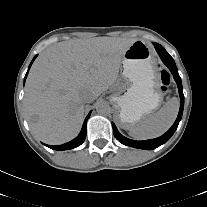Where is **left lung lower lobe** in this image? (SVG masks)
Wrapping results in <instances>:
<instances>
[{
	"instance_id": "0a47b994",
	"label": "left lung lower lobe",
	"mask_w": 207,
	"mask_h": 207,
	"mask_svg": "<svg viewBox=\"0 0 207 207\" xmlns=\"http://www.w3.org/2000/svg\"><path fill=\"white\" fill-rule=\"evenodd\" d=\"M154 45H155V49L158 52L159 56L161 57L162 61L164 62V64L169 68V70L173 74V77H174V79L177 83V86H178L181 104H180L179 113H178V116H177L175 123L161 137L151 139V140H146V141H134V140L127 139L126 137L122 136L118 132L115 124L112 123L114 136L122 144H124L126 146L135 147V148L146 149V150L155 149L170 139V137L174 134V132L176 131V129L178 127V124H179L181 117H182L183 108H184V95H183V89H182V82H181V78L178 74V69L175 65V62H174L173 58L166 52V50L161 45H159L157 43H154Z\"/></svg>"
}]
</instances>
